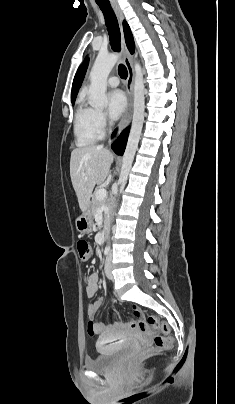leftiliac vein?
Segmentation results:
<instances>
[{
	"instance_id": "left-iliac-vein-1",
	"label": "left iliac vein",
	"mask_w": 235,
	"mask_h": 404,
	"mask_svg": "<svg viewBox=\"0 0 235 404\" xmlns=\"http://www.w3.org/2000/svg\"><path fill=\"white\" fill-rule=\"evenodd\" d=\"M105 274L108 279L112 280L113 279V274H112V252H110L106 258L105 262Z\"/></svg>"
}]
</instances>
